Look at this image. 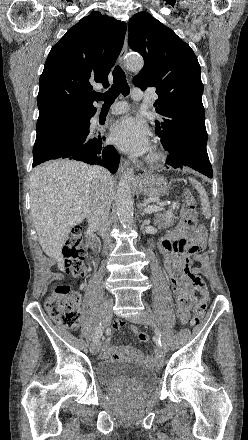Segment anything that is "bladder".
<instances>
[{"label":"bladder","mask_w":248,"mask_h":440,"mask_svg":"<svg viewBox=\"0 0 248 440\" xmlns=\"http://www.w3.org/2000/svg\"><path fill=\"white\" fill-rule=\"evenodd\" d=\"M96 379L115 390L142 391L156 381V371L145 365L121 360H104L95 367Z\"/></svg>","instance_id":"31cf9c89"}]
</instances>
